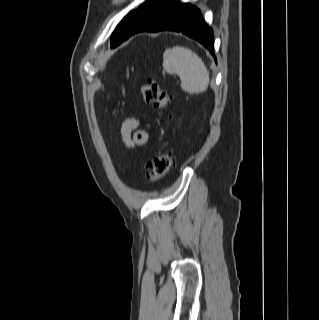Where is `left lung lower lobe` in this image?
<instances>
[{
  "instance_id": "left-lung-lower-lobe-1",
  "label": "left lung lower lobe",
  "mask_w": 319,
  "mask_h": 320,
  "mask_svg": "<svg viewBox=\"0 0 319 320\" xmlns=\"http://www.w3.org/2000/svg\"><path fill=\"white\" fill-rule=\"evenodd\" d=\"M164 30L181 32L197 40L208 49L216 60L213 30L202 19L198 8L180 4L178 0H158L136 21L124 40L138 32Z\"/></svg>"
}]
</instances>
